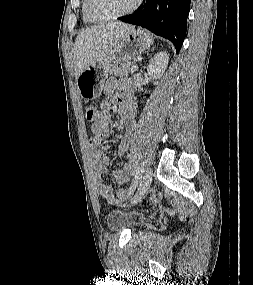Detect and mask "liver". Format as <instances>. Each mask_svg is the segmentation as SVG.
<instances>
[{
	"instance_id": "1",
	"label": "liver",
	"mask_w": 253,
	"mask_h": 285,
	"mask_svg": "<svg viewBox=\"0 0 253 285\" xmlns=\"http://www.w3.org/2000/svg\"><path fill=\"white\" fill-rule=\"evenodd\" d=\"M133 25L115 22L87 28L79 33L74 44L75 78L110 51Z\"/></svg>"
}]
</instances>
